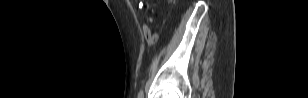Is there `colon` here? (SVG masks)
I'll list each match as a JSON object with an SVG mask.
<instances>
[{"label":"colon","instance_id":"1","mask_svg":"<svg viewBox=\"0 0 308 98\" xmlns=\"http://www.w3.org/2000/svg\"><path fill=\"white\" fill-rule=\"evenodd\" d=\"M146 37V39L148 40V42H155V40H156V35L155 34H153V33H150V34H148L147 36H145Z\"/></svg>","mask_w":308,"mask_h":98}]
</instances>
